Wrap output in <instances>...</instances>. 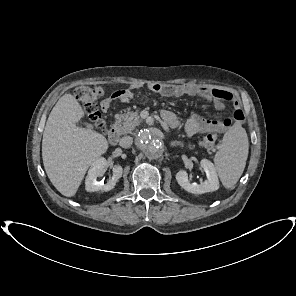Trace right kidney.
I'll return each mask as SVG.
<instances>
[{
  "label": "right kidney",
  "mask_w": 296,
  "mask_h": 296,
  "mask_svg": "<svg viewBox=\"0 0 296 296\" xmlns=\"http://www.w3.org/2000/svg\"><path fill=\"white\" fill-rule=\"evenodd\" d=\"M106 165L107 161L103 157L98 158L92 163L85 180V189L87 192L109 191L115 187L122 176L123 168L120 165H114L112 168V178L104 184L102 181L98 182L97 178L102 174Z\"/></svg>",
  "instance_id": "ca27d5eb"
}]
</instances>
